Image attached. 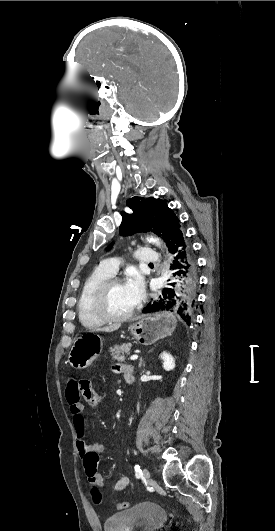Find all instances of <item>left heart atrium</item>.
Returning <instances> with one entry per match:
<instances>
[{
	"label": "left heart atrium",
	"instance_id": "1",
	"mask_svg": "<svg viewBox=\"0 0 275 531\" xmlns=\"http://www.w3.org/2000/svg\"><path fill=\"white\" fill-rule=\"evenodd\" d=\"M124 284L134 305L138 304L144 289V280L140 272L136 269L130 270L126 275Z\"/></svg>",
	"mask_w": 275,
	"mask_h": 531
}]
</instances>
